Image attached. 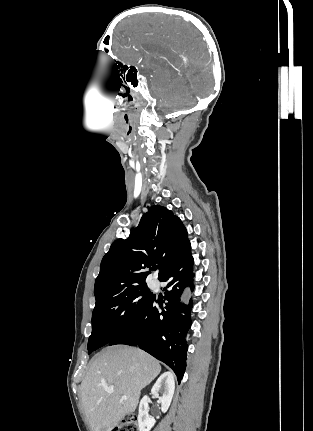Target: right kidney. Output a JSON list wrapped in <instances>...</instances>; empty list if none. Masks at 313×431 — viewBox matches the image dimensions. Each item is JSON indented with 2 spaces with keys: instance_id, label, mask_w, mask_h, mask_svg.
<instances>
[{
  "instance_id": "obj_1",
  "label": "right kidney",
  "mask_w": 313,
  "mask_h": 431,
  "mask_svg": "<svg viewBox=\"0 0 313 431\" xmlns=\"http://www.w3.org/2000/svg\"><path fill=\"white\" fill-rule=\"evenodd\" d=\"M175 390L174 375L170 372L163 373L156 381L151 389V393L154 397L158 398V402L161 404V411L167 412ZM162 393V396H159ZM148 397L144 396L139 404L138 414V426L139 431H150L155 425V419L148 414Z\"/></svg>"
}]
</instances>
